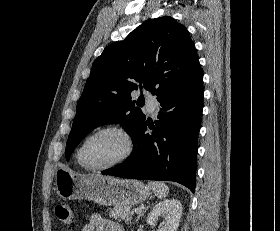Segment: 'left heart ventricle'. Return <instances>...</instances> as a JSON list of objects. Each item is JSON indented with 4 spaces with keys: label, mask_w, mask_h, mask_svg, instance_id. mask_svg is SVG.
<instances>
[{
    "label": "left heart ventricle",
    "mask_w": 280,
    "mask_h": 231,
    "mask_svg": "<svg viewBox=\"0 0 280 231\" xmlns=\"http://www.w3.org/2000/svg\"><path fill=\"white\" fill-rule=\"evenodd\" d=\"M125 149L123 137L116 132H104L86 145L83 158L90 166L100 167L119 158Z\"/></svg>",
    "instance_id": "1"
}]
</instances>
